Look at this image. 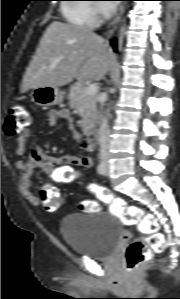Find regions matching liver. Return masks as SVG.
<instances>
[{
  "mask_svg": "<svg viewBox=\"0 0 180 299\" xmlns=\"http://www.w3.org/2000/svg\"><path fill=\"white\" fill-rule=\"evenodd\" d=\"M112 61V50L102 37L87 28L54 21L47 27L26 69L20 92L64 86L74 78L79 82L98 81Z\"/></svg>",
  "mask_w": 180,
  "mask_h": 299,
  "instance_id": "liver-1",
  "label": "liver"
}]
</instances>
